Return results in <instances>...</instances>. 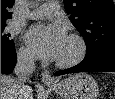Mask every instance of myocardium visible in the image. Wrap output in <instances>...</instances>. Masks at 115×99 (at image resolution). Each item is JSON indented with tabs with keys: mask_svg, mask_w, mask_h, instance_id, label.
<instances>
[{
	"mask_svg": "<svg viewBox=\"0 0 115 99\" xmlns=\"http://www.w3.org/2000/svg\"><path fill=\"white\" fill-rule=\"evenodd\" d=\"M67 39L76 45V51L74 55L68 59H57L56 65L61 68H69L81 63L88 52L87 43L81 35L70 34Z\"/></svg>",
	"mask_w": 115,
	"mask_h": 99,
	"instance_id": "1",
	"label": "myocardium"
}]
</instances>
